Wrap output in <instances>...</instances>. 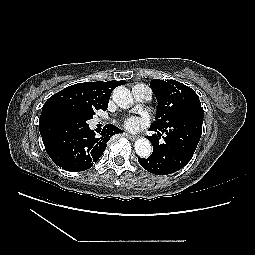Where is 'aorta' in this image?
<instances>
[{"label": "aorta", "instance_id": "aorta-1", "mask_svg": "<svg viewBox=\"0 0 255 255\" xmlns=\"http://www.w3.org/2000/svg\"><path fill=\"white\" fill-rule=\"evenodd\" d=\"M112 98L114 102L123 109H128L133 104L130 91L124 86H118L113 90ZM134 148L138 156L148 158L152 153L151 143L146 138H139L135 141Z\"/></svg>", "mask_w": 255, "mask_h": 255}]
</instances>
